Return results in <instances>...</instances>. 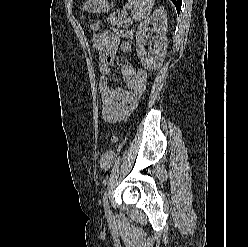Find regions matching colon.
I'll return each mask as SVG.
<instances>
[{
    "mask_svg": "<svg viewBox=\"0 0 248 247\" xmlns=\"http://www.w3.org/2000/svg\"><path fill=\"white\" fill-rule=\"evenodd\" d=\"M91 30L93 32H99L100 22L93 21L91 23ZM146 87H147V74L145 70L140 69L136 74V78L132 87V94L134 98L139 99L145 92Z\"/></svg>",
    "mask_w": 248,
    "mask_h": 247,
    "instance_id": "1",
    "label": "colon"
}]
</instances>
